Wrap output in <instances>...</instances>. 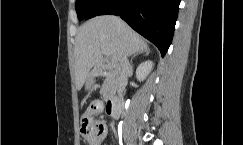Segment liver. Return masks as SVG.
<instances>
[{
    "label": "liver",
    "instance_id": "1",
    "mask_svg": "<svg viewBox=\"0 0 243 145\" xmlns=\"http://www.w3.org/2000/svg\"><path fill=\"white\" fill-rule=\"evenodd\" d=\"M102 47L110 51L113 64L148 49L147 43L118 17L103 15L87 21L79 28L74 45L77 90L83 87L90 71L100 67Z\"/></svg>",
    "mask_w": 243,
    "mask_h": 145
}]
</instances>
